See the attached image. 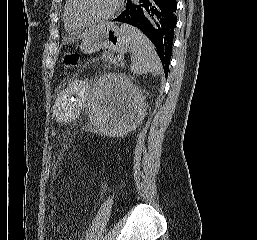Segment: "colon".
I'll use <instances>...</instances> for the list:
<instances>
[{"instance_id":"colon-1","label":"colon","mask_w":257,"mask_h":240,"mask_svg":"<svg viewBox=\"0 0 257 240\" xmlns=\"http://www.w3.org/2000/svg\"><path fill=\"white\" fill-rule=\"evenodd\" d=\"M79 62V55L75 52H68L65 54L63 64L66 69H72L77 66ZM55 170V155L51 148L47 151L45 163V178L49 180Z\"/></svg>"}]
</instances>
